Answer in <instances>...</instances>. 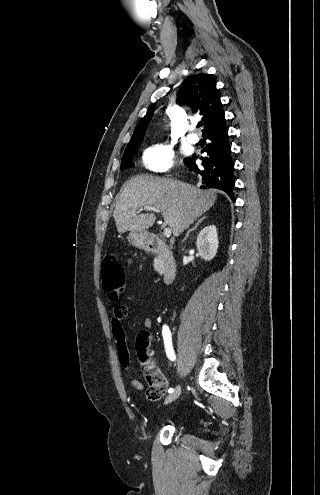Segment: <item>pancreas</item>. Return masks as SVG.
Instances as JSON below:
<instances>
[{
    "instance_id": "pancreas-1",
    "label": "pancreas",
    "mask_w": 320,
    "mask_h": 495,
    "mask_svg": "<svg viewBox=\"0 0 320 495\" xmlns=\"http://www.w3.org/2000/svg\"><path fill=\"white\" fill-rule=\"evenodd\" d=\"M153 266L156 271H161L164 268V262L161 256L155 258Z\"/></svg>"
}]
</instances>
